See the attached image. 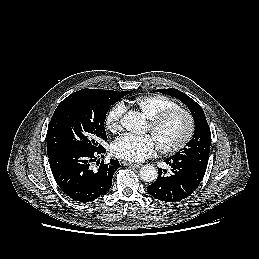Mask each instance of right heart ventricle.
<instances>
[{
  "label": "right heart ventricle",
  "instance_id": "1",
  "mask_svg": "<svg viewBox=\"0 0 259 259\" xmlns=\"http://www.w3.org/2000/svg\"><path fill=\"white\" fill-rule=\"evenodd\" d=\"M134 104L148 119L153 118L165 110L178 107V104L174 100L160 94L139 96L134 100Z\"/></svg>",
  "mask_w": 259,
  "mask_h": 259
}]
</instances>
